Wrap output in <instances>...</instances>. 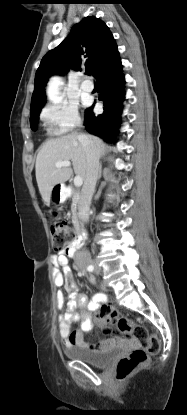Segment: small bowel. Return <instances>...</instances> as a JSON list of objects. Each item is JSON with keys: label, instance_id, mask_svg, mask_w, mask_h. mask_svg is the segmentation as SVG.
<instances>
[{"label": "small bowel", "instance_id": "1", "mask_svg": "<svg viewBox=\"0 0 187 415\" xmlns=\"http://www.w3.org/2000/svg\"><path fill=\"white\" fill-rule=\"evenodd\" d=\"M53 264L62 271H54V283L56 286H65L68 301L65 304L62 292L57 293V305L64 313L59 316V334L67 347H83L90 351H98L109 347L116 340H103L98 344H88L85 334L93 327L92 314L96 311L100 302L105 301V295L96 294L92 300L80 293L68 265V253L61 252L52 257ZM79 310V311H77ZM79 321V329L72 331L71 324Z\"/></svg>", "mask_w": 187, "mask_h": 415}]
</instances>
